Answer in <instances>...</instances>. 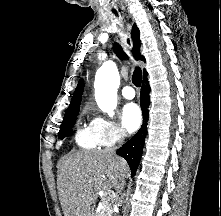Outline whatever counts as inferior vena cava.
Returning a JSON list of instances; mask_svg holds the SVG:
<instances>
[{
	"label": "inferior vena cava",
	"mask_w": 221,
	"mask_h": 216,
	"mask_svg": "<svg viewBox=\"0 0 221 216\" xmlns=\"http://www.w3.org/2000/svg\"><path fill=\"white\" fill-rule=\"evenodd\" d=\"M125 136H126L125 131H121L119 143H122V142H123ZM115 150H116V147H115V148H108V149H106L105 151H106V153H108V154L115 155ZM123 186H124V181H121L120 185H119L118 188L116 189L117 193L121 194V192H122V190H123Z\"/></svg>",
	"instance_id": "inferior-vena-cava-1"
}]
</instances>
